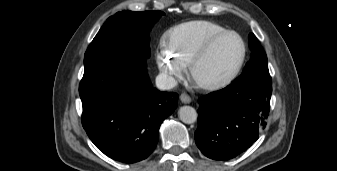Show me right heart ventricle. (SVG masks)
<instances>
[{
    "label": "right heart ventricle",
    "mask_w": 337,
    "mask_h": 171,
    "mask_svg": "<svg viewBox=\"0 0 337 171\" xmlns=\"http://www.w3.org/2000/svg\"><path fill=\"white\" fill-rule=\"evenodd\" d=\"M222 25L208 20H194L171 29L166 36V48L171 56L184 66L209 38L226 31Z\"/></svg>",
    "instance_id": "e07e8e85"
}]
</instances>
